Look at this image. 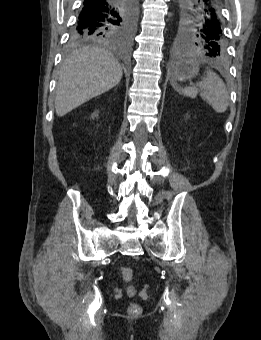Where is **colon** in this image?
<instances>
[{"instance_id": "1", "label": "colon", "mask_w": 261, "mask_h": 340, "mask_svg": "<svg viewBox=\"0 0 261 340\" xmlns=\"http://www.w3.org/2000/svg\"><path fill=\"white\" fill-rule=\"evenodd\" d=\"M120 273H121L122 280L126 284L131 285L133 278H134L133 270L130 267H122L120 269ZM128 310L132 314H138L141 312V306L138 303L132 302L130 303Z\"/></svg>"}]
</instances>
